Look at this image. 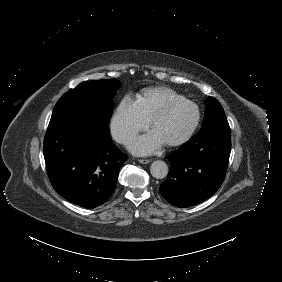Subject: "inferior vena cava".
<instances>
[{
	"label": "inferior vena cava",
	"mask_w": 282,
	"mask_h": 282,
	"mask_svg": "<svg viewBox=\"0 0 282 282\" xmlns=\"http://www.w3.org/2000/svg\"><path fill=\"white\" fill-rule=\"evenodd\" d=\"M112 136L118 143H126L129 135L126 132H120L118 130H112Z\"/></svg>",
	"instance_id": "602c4592"
}]
</instances>
